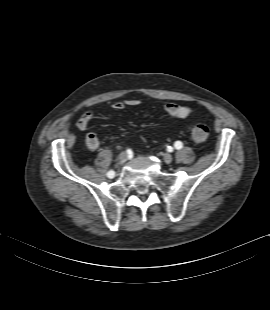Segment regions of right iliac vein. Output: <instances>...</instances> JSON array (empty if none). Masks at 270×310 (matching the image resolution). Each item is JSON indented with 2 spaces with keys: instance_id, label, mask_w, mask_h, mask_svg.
<instances>
[{
  "instance_id": "1",
  "label": "right iliac vein",
  "mask_w": 270,
  "mask_h": 310,
  "mask_svg": "<svg viewBox=\"0 0 270 310\" xmlns=\"http://www.w3.org/2000/svg\"><path fill=\"white\" fill-rule=\"evenodd\" d=\"M126 160H127V154L125 152H122L119 155V161H120V163H124Z\"/></svg>"
}]
</instances>
